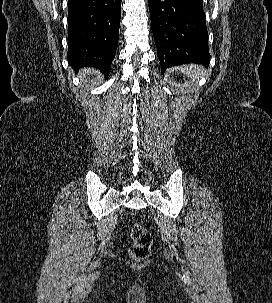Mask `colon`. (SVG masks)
<instances>
[{
    "label": "colon",
    "mask_w": 272,
    "mask_h": 303,
    "mask_svg": "<svg viewBox=\"0 0 272 303\" xmlns=\"http://www.w3.org/2000/svg\"><path fill=\"white\" fill-rule=\"evenodd\" d=\"M132 245L129 249L130 256L136 261H142L150 255L152 234L140 223H134L130 229Z\"/></svg>",
    "instance_id": "5ec220e1"
}]
</instances>
